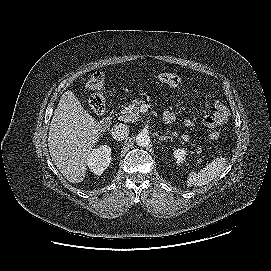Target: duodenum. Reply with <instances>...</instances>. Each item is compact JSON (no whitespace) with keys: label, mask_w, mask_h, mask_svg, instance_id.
Instances as JSON below:
<instances>
[{"label":"duodenum","mask_w":271,"mask_h":271,"mask_svg":"<svg viewBox=\"0 0 271 271\" xmlns=\"http://www.w3.org/2000/svg\"><path fill=\"white\" fill-rule=\"evenodd\" d=\"M113 117L106 116L99 121V129L101 131H107L112 123Z\"/></svg>","instance_id":"obj_1"}]
</instances>
